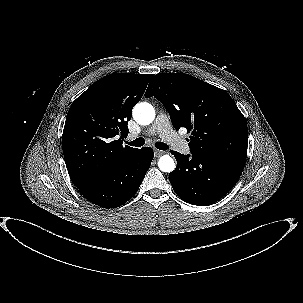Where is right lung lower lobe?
Returning a JSON list of instances; mask_svg holds the SVG:
<instances>
[{"instance_id":"obj_1","label":"right lung lower lobe","mask_w":303,"mask_h":303,"mask_svg":"<svg viewBox=\"0 0 303 303\" xmlns=\"http://www.w3.org/2000/svg\"><path fill=\"white\" fill-rule=\"evenodd\" d=\"M154 152L143 147L106 175L79 189L83 197L102 208H115L130 200L139 189Z\"/></svg>"}]
</instances>
